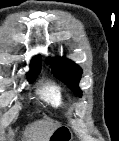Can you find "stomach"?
<instances>
[{"instance_id": "0dacf381", "label": "stomach", "mask_w": 119, "mask_h": 141, "mask_svg": "<svg viewBox=\"0 0 119 141\" xmlns=\"http://www.w3.org/2000/svg\"><path fill=\"white\" fill-rule=\"evenodd\" d=\"M72 138L71 130L66 126L60 125L53 131L48 141H72Z\"/></svg>"}]
</instances>
